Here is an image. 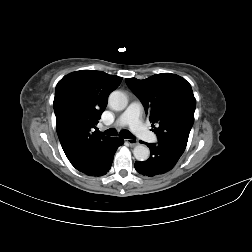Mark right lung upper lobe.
Here are the masks:
<instances>
[{"mask_svg":"<svg viewBox=\"0 0 252 252\" xmlns=\"http://www.w3.org/2000/svg\"><path fill=\"white\" fill-rule=\"evenodd\" d=\"M122 77L102 71L80 70L63 77L54 98L56 130L61 146L76 167L93 156L110 137L91 132L100 119L109 94Z\"/></svg>","mask_w":252,"mask_h":252,"instance_id":"right-lung-upper-lobe-1","label":"right lung upper lobe"}]
</instances>
